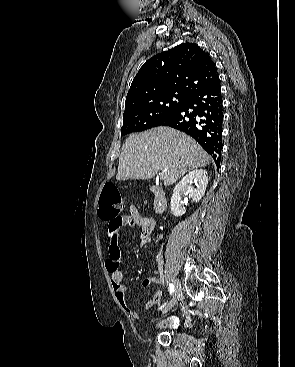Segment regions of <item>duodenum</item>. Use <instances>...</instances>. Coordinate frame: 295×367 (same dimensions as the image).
Wrapping results in <instances>:
<instances>
[{
	"instance_id": "410a0bca",
	"label": "duodenum",
	"mask_w": 295,
	"mask_h": 367,
	"mask_svg": "<svg viewBox=\"0 0 295 367\" xmlns=\"http://www.w3.org/2000/svg\"><path fill=\"white\" fill-rule=\"evenodd\" d=\"M151 191L154 194V208L157 213H161L166 208V197L164 191L156 186L151 187Z\"/></svg>"
}]
</instances>
